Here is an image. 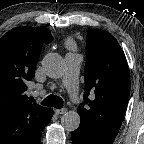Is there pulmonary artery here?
Instances as JSON below:
<instances>
[{
    "label": "pulmonary artery",
    "instance_id": "1",
    "mask_svg": "<svg viewBox=\"0 0 144 144\" xmlns=\"http://www.w3.org/2000/svg\"><path fill=\"white\" fill-rule=\"evenodd\" d=\"M66 68L62 78V85L68 91L70 98L74 99L78 90L79 69L82 58L75 53H68L65 57Z\"/></svg>",
    "mask_w": 144,
    "mask_h": 144
}]
</instances>
